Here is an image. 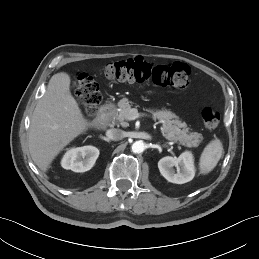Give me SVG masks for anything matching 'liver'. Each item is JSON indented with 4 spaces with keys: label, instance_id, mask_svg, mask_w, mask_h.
Listing matches in <instances>:
<instances>
[{
    "label": "liver",
    "instance_id": "1",
    "mask_svg": "<svg viewBox=\"0 0 259 259\" xmlns=\"http://www.w3.org/2000/svg\"><path fill=\"white\" fill-rule=\"evenodd\" d=\"M91 125L70 92V76L54 74L31 118L28 143L34 163L46 172L59 152Z\"/></svg>",
    "mask_w": 259,
    "mask_h": 259
}]
</instances>
